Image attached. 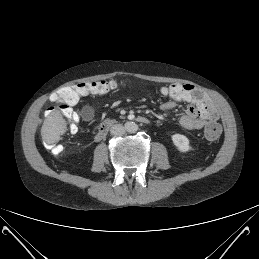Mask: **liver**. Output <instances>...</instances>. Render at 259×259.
I'll return each mask as SVG.
<instances>
[{"label": "liver", "mask_w": 259, "mask_h": 259, "mask_svg": "<svg viewBox=\"0 0 259 259\" xmlns=\"http://www.w3.org/2000/svg\"><path fill=\"white\" fill-rule=\"evenodd\" d=\"M67 131V122L59 110L52 111L44 120L41 136L47 144H54L61 139Z\"/></svg>", "instance_id": "obj_1"}]
</instances>
